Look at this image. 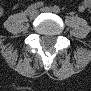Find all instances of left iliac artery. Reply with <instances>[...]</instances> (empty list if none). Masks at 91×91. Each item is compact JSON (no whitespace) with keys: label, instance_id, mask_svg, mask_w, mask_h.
<instances>
[{"label":"left iliac artery","instance_id":"left-iliac-artery-1","mask_svg":"<svg viewBox=\"0 0 91 91\" xmlns=\"http://www.w3.org/2000/svg\"><path fill=\"white\" fill-rule=\"evenodd\" d=\"M53 10H54V12L59 13L60 12V7L55 5L53 7Z\"/></svg>","mask_w":91,"mask_h":91}]
</instances>
